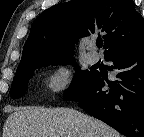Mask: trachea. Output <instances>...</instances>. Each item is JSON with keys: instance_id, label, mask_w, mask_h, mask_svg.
Returning <instances> with one entry per match:
<instances>
[{"instance_id": "3493384b", "label": "trachea", "mask_w": 144, "mask_h": 137, "mask_svg": "<svg viewBox=\"0 0 144 137\" xmlns=\"http://www.w3.org/2000/svg\"><path fill=\"white\" fill-rule=\"evenodd\" d=\"M102 45H103V41H102V40H98V41L96 42V46H97L98 48H101Z\"/></svg>"}]
</instances>
